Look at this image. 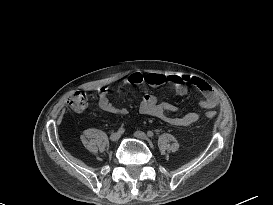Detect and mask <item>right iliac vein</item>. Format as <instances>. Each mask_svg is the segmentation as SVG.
<instances>
[{
	"instance_id": "right-iliac-vein-1",
	"label": "right iliac vein",
	"mask_w": 273,
	"mask_h": 205,
	"mask_svg": "<svg viewBox=\"0 0 273 205\" xmlns=\"http://www.w3.org/2000/svg\"><path fill=\"white\" fill-rule=\"evenodd\" d=\"M121 137V134L119 132H114L110 135V140L112 142L118 141V139Z\"/></svg>"
}]
</instances>
